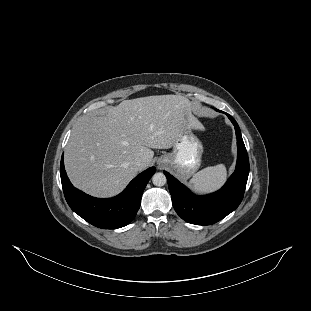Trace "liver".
Here are the masks:
<instances>
[{
  "label": "liver",
  "mask_w": 311,
  "mask_h": 311,
  "mask_svg": "<svg viewBox=\"0 0 311 311\" xmlns=\"http://www.w3.org/2000/svg\"><path fill=\"white\" fill-rule=\"evenodd\" d=\"M183 122L204 129L191 114V101L173 94L124 100L110 107L106 116L87 118L73 129L65 148L72 184L95 197L119 194L150 166L152 149L173 147L183 133Z\"/></svg>",
  "instance_id": "6515ba94"
}]
</instances>
